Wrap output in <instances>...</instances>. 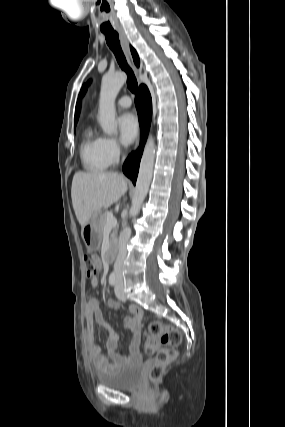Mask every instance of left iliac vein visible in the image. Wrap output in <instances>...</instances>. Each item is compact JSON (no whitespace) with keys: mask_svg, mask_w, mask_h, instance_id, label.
<instances>
[{"mask_svg":"<svg viewBox=\"0 0 285 427\" xmlns=\"http://www.w3.org/2000/svg\"><path fill=\"white\" fill-rule=\"evenodd\" d=\"M115 294L119 300L124 301L125 300V294H124V282L122 276L117 277V282L115 285Z\"/></svg>","mask_w":285,"mask_h":427,"instance_id":"1","label":"left iliac vein"}]
</instances>
